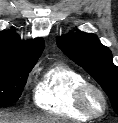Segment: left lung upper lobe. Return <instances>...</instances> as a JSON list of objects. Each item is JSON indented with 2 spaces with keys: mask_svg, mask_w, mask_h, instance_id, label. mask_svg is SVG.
<instances>
[{
  "mask_svg": "<svg viewBox=\"0 0 118 123\" xmlns=\"http://www.w3.org/2000/svg\"><path fill=\"white\" fill-rule=\"evenodd\" d=\"M57 45L101 85L118 114V68L112 62L111 51L96 35L80 31L58 37Z\"/></svg>",
  "mask_w": 118,
  "mask_h": 123,
  "instance_id": "1",
  "label": "left lung upper lobe"
}]
</instances>
